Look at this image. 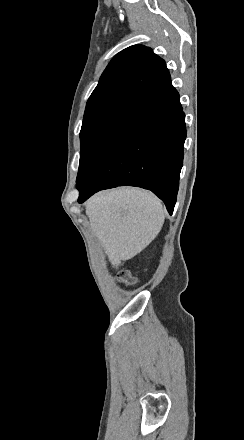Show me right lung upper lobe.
<instances>
[{
    "instance_id": "obj_1",
    "label": "right lung upper lobe",
    "mask_w": 244,
    "mask_h": 440,
    "mask_svg": "<svg viewBox=\"0 0 244 440\" xmlns=\"http://www.w3.org/2000/svg\"><path fill=\"white\" fill-rule=\"evenodd\" d=\"M169 79L163 59L148 47L134 45L111 60L87 103L118 96L142 98Z\"/></svg>"
}]
</instances>
